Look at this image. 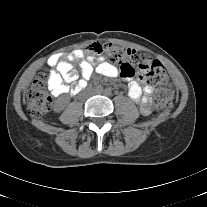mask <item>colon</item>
Returning <instances> with one entry per match:
<instances>
[{"label": "colon", "instance_id": "colon-1", "mask_svg": "<svg viewBox=\"0 0 207 207\" xmlns=\"http://www.w3.org/2000/svg\"><path fill=\"white\" fill-rule=\"evenodd\" d=\"M89 50L119 64L124 78H132L136 72H139V77L145 80L150 88L157 87L154 93V105L157 109H167L171 106L173 91L169 77L160 61L113 43L93 42ZM51 102L49 76L41 72L26 94L27 110L31 116L40 117L50 110Z\"/></svg>", "mask_w": 207, "mask_h": 207}]
</instances>
